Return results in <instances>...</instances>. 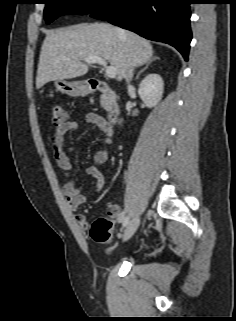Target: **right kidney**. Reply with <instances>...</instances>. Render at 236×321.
Returning <instances> with one entry per match:
<instances>
[{
  "label": "right kidney",
  "instance_id": "right-kidney-1",
  "mask_svg": "<svg viewBox=\"0 0 236 321\" xmlns=\"http://www.w3.org/2000/svg\"><path fill=\"white\" fill-rule=\"evenodd\" d=\"M164 90L163 80L160 75L148 74L140 83L138 94L145 105L152 108L161 100Z\"/></svg>",
  "mask_w": 236,
  "mask_h": 321
}]
</instances>
